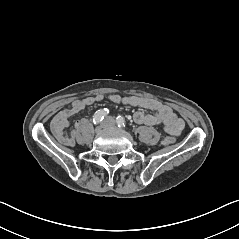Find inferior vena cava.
I'll list each match as a JSON object with an SVG mask.
<instances>
[{"label": "inferior vena cava", "mask_w": 239, "mask_h": 239, "mask_svg": "<svg viewBox=\"0 0 239 239\" xmlns=\"http://www.w3.org/2000/svg\"><path fill=\"white\" fill-rule=\"evenodd\" d=\"M114 124L115 121L112 116L105 117L104 119H102V122L100 123L101 127L106 130L112 129L114 127Z\"/></svg>", "instance_id": "inferior-vena-cava-1"}]
</instances>
